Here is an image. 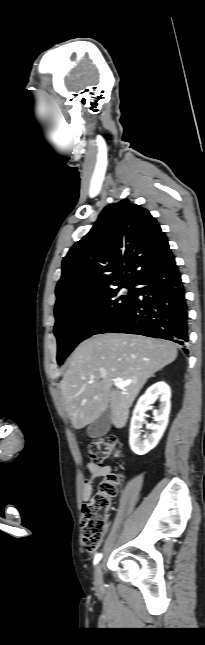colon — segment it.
I'll list each match as a JSON object with an SVG mask.
<instances>
[{
	"mask_svg": "<svg viewBox=\"0 0 205 645\" xmlns=\"http://www.w3.org/2000/svg\"><path fill=\"white\" fill-rule=\"evenodd\" d=\"M112 454H119L114 440L99 439L88 445L89 458L95 465H102ZM119 482L118 473L108 474L95 493L82 505L81 536L83 545L89 552L97 550L105 536L109 511Z\"/></svg>",
	"mask_w": 205,
	"mask_h": 645,
	"instance_id": "colon-1",
	"label": "colon"
}]
</instances>
